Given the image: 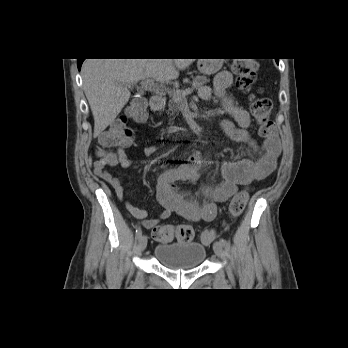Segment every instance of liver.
<instances>
[{
	"instance_id": "obj_1",
	"label": "liver",
	"mask_w": 348,
	"mask_h": 348,
	"mask_svg": "<svg viewBox=\"0 0 348 348\" xmlns=\"http://www.w3.org/2000/svg\"><path fill=\"white\" fill-rule=\"evenodd\" d=\"M195 59H86L83 88L94 117V138L118 116L130 98V85L145 79L176 80Z\"/></svg>"
}]
</instances>
